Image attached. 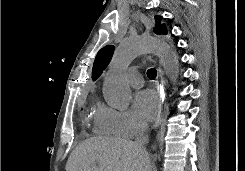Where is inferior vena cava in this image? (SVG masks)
<instances>
[{"mask_svg":"<svg viewBox=\"0 0 245 171\" xmlns=\"http://www.w3.org/2000/svg\"><path fill=\"white\" fill-rule=\"evenodd\" d=\"M147 133H148L147 123L146 122H140L135 143L143 152H146L144 145L148 143V134Z\"/></svg>","mask_w":245,"mask_h":171,"instance_id":"602c4592","label":"inferior vena cava"}]
</instances>
